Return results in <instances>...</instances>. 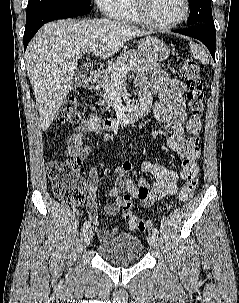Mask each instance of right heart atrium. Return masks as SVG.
Here are the masks:
<instances>
[{
  "label": "right heart atrium",
  "instance_id": "d8ad5b80",
  "mask_svg": "<svg viewBox=\"0 0 239 303\" xmlns=\"http://www.w3.org/2000/svg\"><path fill=\"white\" fill-rule=\"evenodd\" d=\"M100 11L110 17H118L124 8L125 0H94Z\"/></svg>",
  "mask_w": 239,
  "mask_h": 303
}]
</instances>
